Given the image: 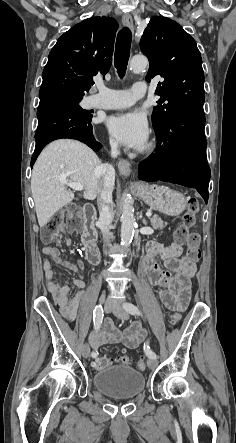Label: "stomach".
I'll use <instances>...</instances> for the list:
<instances>
[{
	"label": "stomach",
	"mask_w": 236,
	"mask_h": 443,
	"mask_svg": "<svg viewBox=\"0 0 236 443\" xmlns=\"http://www.w3.org/2000/svg\"><path fill=\"white\" fill-rule=\"evenodd\" d=\"M136 193L150 208L168 216H178L187 206L183 194L166 186L142 184Z\"/></svg>",
	"instance_id": "1"
}]
</instances>
